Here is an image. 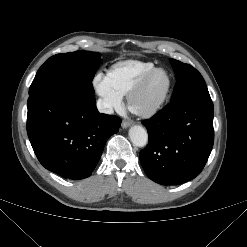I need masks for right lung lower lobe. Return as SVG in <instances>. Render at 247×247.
I'll return each instance as SVG.
<instances>
[{"mask_svg":"<svg viewBox=\"0 0 247 247\" xmlns=\"http://www.w3.org/2000/svg\"><path fill=\"white\" fill-rule=\"evenodd\" d=\"M121 120L99 113L94 95L45 88L28 99L27 133L39 162L69 179L89 177Z\"/></svg>","mask_w":247,"mask_h":247,"instance_id":"right-lung-lower-lobe-1","label":"right lung lower lobe"}]
</instances>
